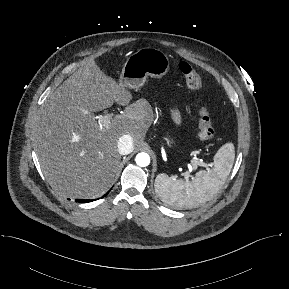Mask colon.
<instances>
[{
    "mask_svg": "<svg viewBox=\"0 0 289 289\" xmlns=\"http://www.w3.org/2000/svg\"><path fill=\"white\" fill-rule=\"evenodd\" d=\"M179 70L185 78L187 86L195 91H200L202 88L201 77L194 67L187 61L179 63ZM198 128L199 137L202 140H211L214 137L215 131L212 118L208 109L202 106L198 112Z\"/></svg>",
    "mask_w": 289,
    "mask_h": 289,
    "instance_id": "colon-1",
    "label": "colon"
}]
</instances>
